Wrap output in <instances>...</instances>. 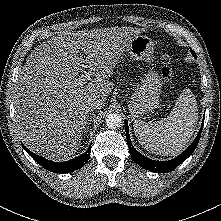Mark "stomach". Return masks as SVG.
I'll return each mask as SVG.
<instances>
[{
	"label": "stomach",
	"mask_w": 221,
	"mask_h": 221,
	"mask_svg": "<svg viewBox=\"0 0 221 221\" xmlns=\"http://www.w3.org/2000/svg\"><path fill=\"white\" fill-rule=\"evenodd\" d=\"M125 52L133 59L145 60L148 64H152L154 42L145 35H137L129 42ZM161 88L162 82L159 74L150 68L142 79L141 85L130 97L129 110L131 114L137 116L157 108Z\"/></svg>",
	"instance_id": "0dacf381"
}]
</instances>
